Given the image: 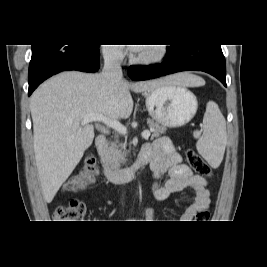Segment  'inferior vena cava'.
<instances>
[{
    "label": "inferior vena cava",
    "instance_id": "obj_1",
    "mask_svg": "<svg viewBox=\"0 0 267 267\" xmlns=\"http://www.w3.org/2000/svg\"><path fill=\"white\" fill-rule=\"evenodd\" d=\"M104 67L102 76L108 81L121 80L123 77L117 48H108L103 53Z\"/></svg>",
    "mask_w": 267,
    "mask_h": 267
}]
</instances>
